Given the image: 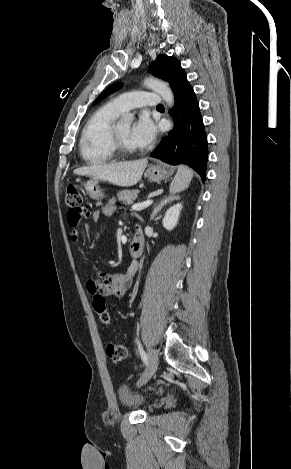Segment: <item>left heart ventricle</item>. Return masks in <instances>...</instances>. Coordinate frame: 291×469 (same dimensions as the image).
Segmentation results:
<instances>
[{"instance_id": "obj_1", "label": "left heart ventricle", "mask_w": 291, "mask_h": 469, "mask_svg": "<svg viewBox=\"0 0 291 469\" xmlns=\"http://www.w3.org/2000/svg\"><path fill=\"white\" fill-rule=\"evenodd\" d=\"M117 131L122 139V141L131 148L136 149L137 147L132 143L130 139V132H131V127L130 125H117Z\"/></svg>"}]
</instances>
